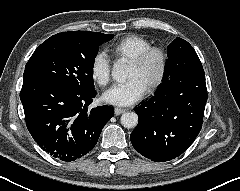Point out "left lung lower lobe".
Returning a JSON list of instances; mask_svg holds the SVG:
<instances>
[{
  "instance_id": "0a47b994",
  "label": "left lung lower lobe",
  "mask_w": 240,
  "mask_h": 191,
  "mask_svg": "<svg viewBox=\"0 0 240 191\" xmlns=\"http://www.w3.org/2000/svg\"><path fill=\"white\" fill-rule=\"evenodd\" d=\"M207 98L204 70L199 68L157 88L154 96L135 108L139 121L130 135L135 150L157 162L181 155L202 128Z\"/></svg>"
}]
</instances>
